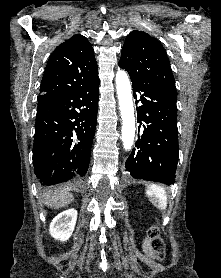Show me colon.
I'll return each mask as SVG.
<instances>
[{
  "instance_id": "1",
  "label": "colon",
  "mask_w": 221,
  "mask_h": 278,
  "mask_svg": "<svg viewBox=\"0 0 221 278\" xmlns=\"http://www.w3.org/2000/svg\"><path fill=\"white\" fill-rule=\"evenodd\" d=\"M149 249L151 254L158 259H164L165 244L160 236V230L157 226H152L148 231Z\"/></svg>"
}]
</instances>
